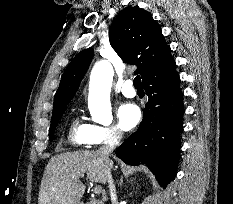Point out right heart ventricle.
<instances>
[{"instance_id": "right-heart-ventricle-1", "label": "right heart ventricle", "mask_w": 233, "mask_h": 204, "mask_svg": "<svg viewBox=\"0 0 233 204\" xmlns=\"http://www.w3.org/2000/svg\"><path fill=\"white\" fill-rule=\"evenodd\" d=\"M84 122L79 116H76L70 126L68 138L73 145H87L90 126Z\"/></svg>"}]
</instances>
